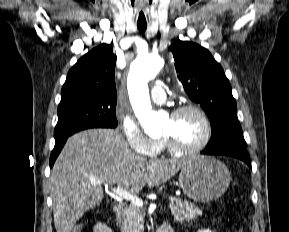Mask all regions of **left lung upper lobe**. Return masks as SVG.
Listing matches in <instances>:
<instances>
[{
    "label": "left lung upper lobe",
    "instance_id": "5c2ea615",
    "mask_svg": "<svg viewBox=\"0 0 289 232\" xmlns=\"http://www.w3.org/2000/svg\"><path fill=\"white\" fill-rule=\"evenodd\" d=\"M169 50L185 92L210 120L212 134L205 150L246 147L236 101L221 65L207 49L193 42L177 40Z\"/></svg>",
    "mask_w": 289,
    "mask_h": 232
}]
</instances>
